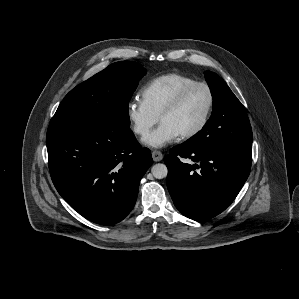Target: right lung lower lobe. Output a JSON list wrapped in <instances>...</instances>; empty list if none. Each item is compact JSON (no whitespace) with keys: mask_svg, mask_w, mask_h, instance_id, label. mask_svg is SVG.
<instances>
[{"mask_svg":"<svg viewBox=\"0 0 299 299\" xmlns=\"http://www.w3.org/2000/svg\"><path fill=\"white\" fill-rule=\"evenodd\" d=\"M50 175L59 194L83 217L102 225L123 220L152 165L129 126L115 122L48 127Z\"/></svg>","mask_w":299,"mask_h":299,"instance_id":"right-lung-lower-lobe-1","label":"right lung lower lobe"}]
</instances>
